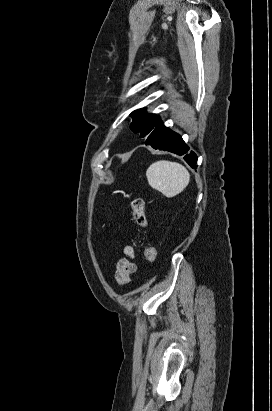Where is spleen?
<instances>
[{
  "instance_id": "obj_1",
  "label": "spleen",
  "mask_w": 272,
  "mask_h": 411,
  "mask_svg": "<svg viewBox=\"0 0 272 411\" xmlns=\"http://www.w3.org/2000/svg\"><path fill=\"white\" fill-rule=\"evenodd\" d=\"M146 176L149 185L168 198L181 193L190 180V174L182 164L167 160L151 164Z\"/></svg>"
}]
</instances>
